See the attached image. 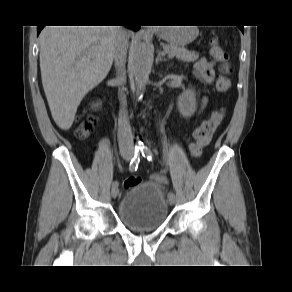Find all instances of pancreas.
I'll return each instance as SVG.
<instances>
[{
    "instance_id": "1",
    "label": "pancreas",
    "mask_w": 292,
    "mask_h": 292,
    "mask_svg": "<svg viewBox=\"0 0 292 292\" xmlns=\"http://www.w3.org/2000/svg\"><path fill=\"white\" fill-rule=\"evenodd\" d=\"M163 48L169 53L170 56H175L177 59L185 62H194L199 58V54L194 51L171 44H164Z\"/></svg>"
}]
</instances>
